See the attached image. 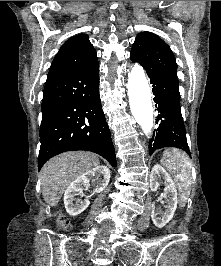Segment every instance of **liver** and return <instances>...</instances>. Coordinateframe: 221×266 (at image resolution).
Returning <instances> with one entry per match:
<instances>
[{"label":"liver","mask_w":221,"mask_h":266,"mask_svg":"<svg viewBox=\"0 0 221 266\" xmlns=\"http://www.w3.org/2000/svg\"><path fill=\"white\" fill-rule=\"evenodd\" d=\"M98 165V156L86 151L67 152L50 159L41 170L43 199L56 206L73 180Z\"/></svg>","instance_id":"liver-1"}]
</instances>
